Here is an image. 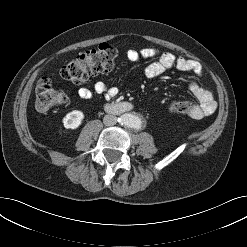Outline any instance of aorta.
I'll return each instance as SVG.
<instances>
[{"label":"aorta","mask_w":247,"mask_h":247,"mask_svg":"<svg viewBox=\"0 0 247 247\" xmlns=\"http://www.w3.org/2000/svg\"><path fill=\"white\" fill-rule=\"evenodd\" d=\"M121 125L126 127L139 129L141 127L142 121L138 115L125 113L118 119Z\"/></svg>","instance_id":"762f6f07"}]
</instances>
